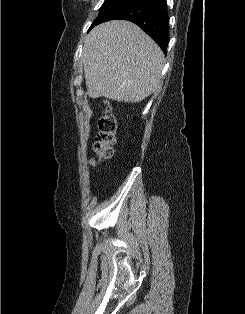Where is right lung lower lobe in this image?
<instances>
[{"mask_svg":"<svg viewBox=\"0 0 245 314\" xmlns=\"http://www.w3.org/2000/svg\"><path fill=\"white\" fill-rule=\"evenodd\" d=\"M115 19L128 20L137 24L157 42L164 52L166 51L169 42L166 0H127L100 23Z\"/></svg>","mask_w":245,"mask_h":314,"instance_id":"1","label":"right lung lower lobe"}]
</instances>
